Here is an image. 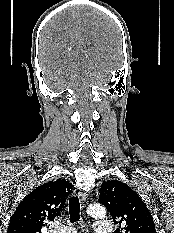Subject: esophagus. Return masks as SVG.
Here are the masks:
<instances>
[{"instance_id": "obj_1", "label": "esophagus", "mask_w": 174, "mask_h": 233, "mask_svg": "<svg viewBox=\"0 0 174 233\" xmlns=\"http://www.w3.org/2000/svg\"><path fill=\"white\" fill-rule=\"evenodd\" d=\"M79 198H80V201L82 202L83 207H84L85 203H86V199H87V193L84 192V191H80L79 192Z\"/></svg>"}]
</instances>
